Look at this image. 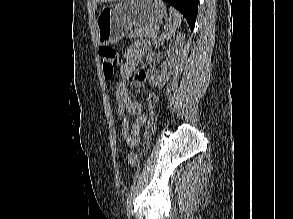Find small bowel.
Returning a JSON list of instances; mask_svg holds the SVG:
<instances>
[{"label": "small bowel", "instance_id": "obj_1", "mask_svg": "<svg viewBox=\"0 0 293 219\" xmlns=\"http://www.w3.org/2000/svg\"><path fill=\"white\" fill-rule=\"evenodd\" d=\"M148 49L149 44L146 41H138L127 49L120 67L122 80L118 82L115 90V97L118 103V114L122 117L121 135L130 148H135L138 145L140 133L147 118L142 111L141 104L131 98L125 80L132 76L137 64ZM146 80L147 73L145 71H140L134 85L141 87ZM156 100L157 97L154 93L148 94L147 102L149 107H153ZM127 115L135 117L131 124Z\"/></svg>", "mask_w": 293, "mask_h": 219}]
</instances>
